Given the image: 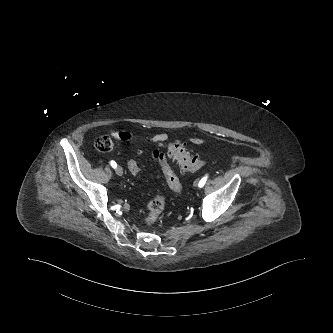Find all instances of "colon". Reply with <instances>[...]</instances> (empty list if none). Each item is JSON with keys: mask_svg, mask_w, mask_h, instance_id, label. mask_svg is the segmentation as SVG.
Here are the masks:
<instances>
[{"mask_svg": "<svg viewBox=\"0 0 333 333\" xmlns=\"http://www.w3.org/2000/svg\"><path fill=\"white\" fill-rule=\"evenodd\" d=\"M95 148L101 152H108L112 150L114 142L110 136H101L95 140ZM168 155L177 161L180 169L183 172L196 171L203 165V160L190 153L186 145L180 141H173L167 146ZM141 152L137 151L134 155L130 156L126 165L128 170L133 174H138L142 171V163L140 161ZM151 157L154 161L158 162L166 179V182L173 193H178L181 190V183L172 169V167L166 161V155L159 149H154L151 153ZM166 205V200L162 195L154 196L148 203L147 213L145 216V222L148 225L154 224L160 215L163 213Z\"/></svg>", "mask_w": 333, "mask_h": 333, "instance_id": "5ec220e1", "label": "colon"}]
</instances>
